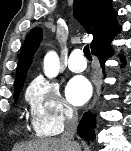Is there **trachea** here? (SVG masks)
Wrapping results in <instances>:
<instances>
[{
  "label": "trachea",
  "instance_id": "3493384b",
  "mask_svg": "<svg viewBox=\"0 0 131 151\" xmlns=\"http://www.w3.org/2000/svg\"><path fill=\"white\" fill-rule=\"evenodd\" d=\"M84 55L86 56V58L88 60H91L92 59V56H91V53H90V49H89V45L87 44L85 47H84Z\"/></svg>",
  "mask_w": 131,
  "mask_h": 151
}]
</instances>
